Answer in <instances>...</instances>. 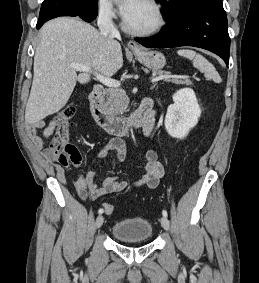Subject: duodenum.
Wrapping results in <instances>:
<instances>
[{
    "label": "duodenum",
    "mask_w": 259,
    "mask_h": 283,
    "mask_svg": "<svg viewBox=\"0 0 259 283\" xmlns=\"http://www.w3.org/2000/svg\"><path fill=\"white\" fill-rule=\"evenodd\" d=\"M104 88L95 86L90 94V110L99 125L108 133L127 135L133 129L145 128L152 123L153 111L150 101H144L131 117L120 118L111 115L103 104Z\"/></svg>",
    "instance_id": "duodenum-1"
}]
</instances>
